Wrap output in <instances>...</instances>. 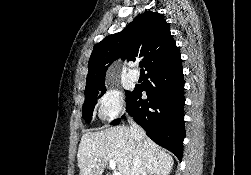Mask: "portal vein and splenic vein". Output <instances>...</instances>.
Returning <instances> with one entry per match:
<instances>
[{
	"mask_svg": "<svg viewBox=\"0 0 251 175\" xmlns=\"http://www.w3.org/2000/svg\"><path fill=\"white\" fill-rule=\"evenodd\" d=\"M97 161H101V159H97ZM109 167H111V169H115L116 167L115 159H110ZM112 175H122V173H120V171H113Z\"/></svg>",
	"mask_w": 251,
	"mask_h": 175,
	"instance_id": "1",
	"label": "portal vein and splenic vein"
}]
</instances>
